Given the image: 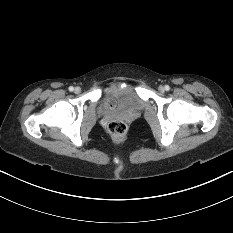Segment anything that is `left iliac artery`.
Listing matches in <instances>:
<instances>
[{"label": "left iliac artery", "mask_w": 233, "mask_h": 233, "mask_svg": "<svg viewBox=\"0 0 233 233\" xmlns=\"http://www.w3.org/2000/svg\"><path fill=\"white\" fill-rule=\"evenodd\" d=\"M164 88H165L166 91H169V89H170V87L168 85H165Z\"/></svg>", "instance_id": "1"}]
</instances>
